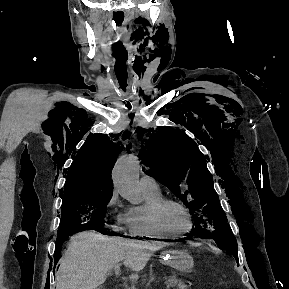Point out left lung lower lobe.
<instances>
[{"label": "left lung lower lobe", "mask_w": 289, "mask_h": 289, "mask_svg": "<svg viewBox=\"0 0 289 289\" xmlns=\"http://www.w3.org/2000/svg\"><path fill=\"white\" fill-rule=\"evenodd\" d=\"M202 237V238H211L210 236L208 235H205V234H201V235H194V233H191L187 238H190V237Z\"/></svg>", "instance_id": "1"}]
</instances>
